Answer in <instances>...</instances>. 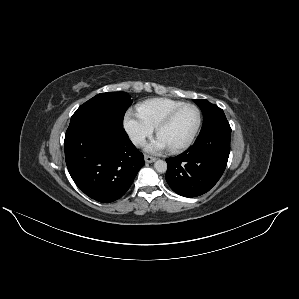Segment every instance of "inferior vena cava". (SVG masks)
<instances>
[{
    "label": "inferior vena cava",
    "instance_id": "obj_1",
    "mask_svg": "<svg viewBox=\"0 0 299 299\" xmlns=\"http://www.w3.org/2000/svg\"><path fill=\"white\" fill-rule=\"evenodd\" d=\"M132 142L135 145H141L145 142V139L143 137H140V136H135V137H132Z\"/></svg>",
    "mask_w": 299,
    "mask_h": 299
}]
</instances>
